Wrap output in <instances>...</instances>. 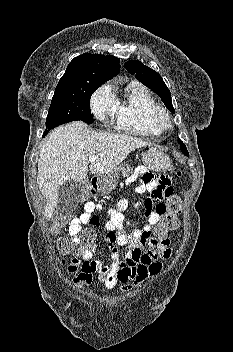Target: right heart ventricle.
Instances as JSON below:
<instances>
[{"instance_id":"1","label":"right heart ventricle","mask_w":233,"mask_h":352,"mask_svg":"<svg viewBox=\"0 0 233 352\" xmlns=\"http://www.w3.org/2000/svg\"><path fill=\"white\" fill-rule=\"evenodd\" d=\"M158 108L157 102L144 86L136 82L129 84L124 99L118 101L117 129L136 136L159 135L162 131L149 122L150 113Z\"/></svg>"}]
</instances>
